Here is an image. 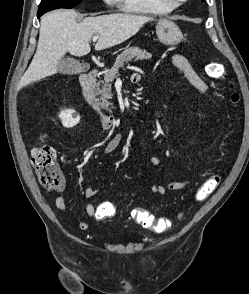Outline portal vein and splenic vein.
Returning <instances> with one entry per match:
<instances>
[{
	"label": "portal vein and splenic vein",
	"instance_id": "18ae733b",
	"mask_svg": "<svg viewBox=\"0 0 249 294\" xmlns=\"http://www.w3.org/2000/svg\"><path fill=\"white\" fill-rule=\"evenodd\" d=\"M98 38H99V36L95 35V36L93 37V41L96 42Z\"/></svg>",
	"mask_w": 249,
	"mask_h": 294
}]
</instances>
